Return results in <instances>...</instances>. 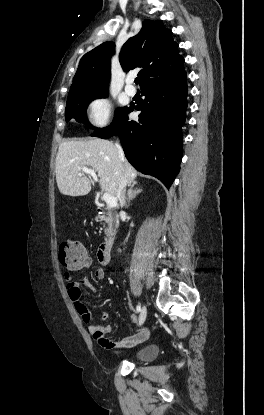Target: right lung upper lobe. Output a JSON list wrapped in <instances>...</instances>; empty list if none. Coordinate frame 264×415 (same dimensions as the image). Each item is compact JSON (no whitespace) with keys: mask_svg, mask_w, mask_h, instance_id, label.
I'll list each match as a JSON object with an SVG mask.
<instances>
[{"mask_svg":"<svg viewBox=\"0 0 264 415\" xmlns=\"http://www.w3.org/2000/svg\"><path fill=\"white\" fill-rule=\"evenodd\" d=\"M113 51L114 43L105 42L81 58L68 98L108 93ZM119 60L124 71L141 68L138 73L141 88L184 71V59L178 53L172 31L166 29L160 20H144L140 32L123 45Z\"/></svg>","mask_w":264,"mask_h":415,"instance_id":"obj_1","label":"right lung upper lobe"}]
</instances>
